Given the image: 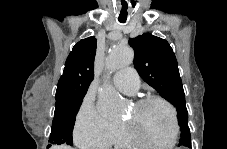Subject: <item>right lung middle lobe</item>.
<instances>
[{"label":"right lung middle lobe","mask_w":227,"mask_h":149,"mask_svg":"<svg viewBox=\"0 0 227 149\" xmlns=\"http://www.w3.org/2000/svg\"><path fill=\"white\" fill-rule=\"evenodd\" d=\"M83 98L56 101L54 119L49 138L51 144H67L72 146V131L75 118Z\"/></svg>","instance_id":"dd1d6c3e"}]
</instances>
